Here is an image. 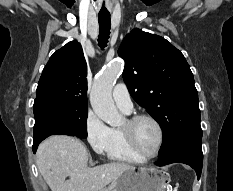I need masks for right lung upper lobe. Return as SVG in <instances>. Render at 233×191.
Instances as JSON below:
<instances>
[{
    "mask_svg": "<svg viewBox=\"0 0 233 191\" xmlns=\"http://www.w3.org/2000/svg\"><path fill=\"white\" fill-rule=\"evenodd\" d=\"M87 64L77 41L54 52L43 69L35 101L57 100L87 106Z\"/></svg>",
    "mask_w": 233,
    "mask_h": 191,
    "instance_id": "right-lung-upper-lobe-1",
    "label": "right lung upper lobe"
}]
</instances>
